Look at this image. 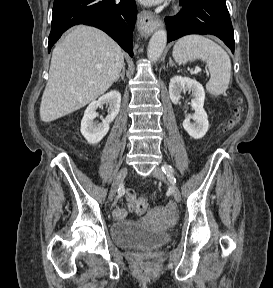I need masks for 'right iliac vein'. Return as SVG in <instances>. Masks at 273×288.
Wrapping results in <instances>:
<instances>
[{"label":"right iliac vein","mask_w":273,"mask_h":288,"mask_svg":"<svg viewBox=\"0 0 273 288\" xmlns=\"http://www.w3.org/2000/svg\"><path fill=\"white\" fill-rule=\"evenodd\" d=\"M128 173V168L123 167L115 177L112 187L109 192V200L112 201L116 195V192L118 188L122 185L123 180L125 179L126 175Z\"/></svg>","instance_id":"right-iliac-vein-1"}]
</instances>
